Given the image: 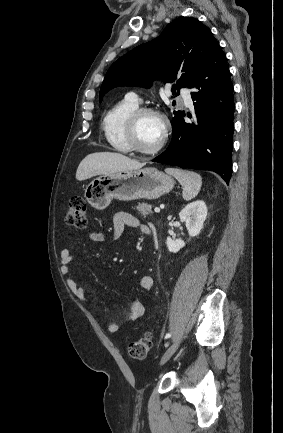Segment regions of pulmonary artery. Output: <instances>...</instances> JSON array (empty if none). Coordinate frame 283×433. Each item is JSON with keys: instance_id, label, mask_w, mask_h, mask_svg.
Masks as SVG:
<instances>
[{"instance_id": "1", "label": "pulmonary artery", "mask_w": 283, "mask_h": 433, "mask_svg": "<svg viewBox=\"0 0 283 433\" xmlns=\"http://www.w3.org/2000/svg\"><path fill=\"white\" fill-rule=\"evenodd\" d=\"M178 93L180 95L179 104L181 106H184L186 108L191 109L193 107V100H192L191 94L189 93L188 88L187 87H180L178 90ZM128 99L131 100L132 102H135V103L140 102V98L134 93H130Z\"/></svg>"}]
</instances>
